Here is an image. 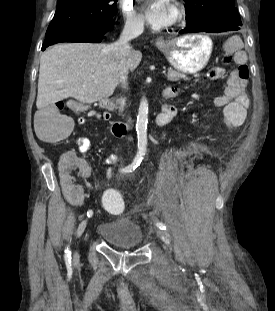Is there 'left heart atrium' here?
Here are the masks:
<instances>
[{"label":"left heart atrium","mask_w":275,"mask_h":311,"mask_svg":"<svg viewBox=\"0 0 275 311\" xmlns=\"http://www.w3.org/2000/svg\"><path fill=\"white\" fill-rule=\"evenodd\" d=\"M143 11L147 22L156 28L168 26L173 21L171 0H145Z\"/></svg>","instance_id":"left-heart-atrium-1"}]
</instances>
